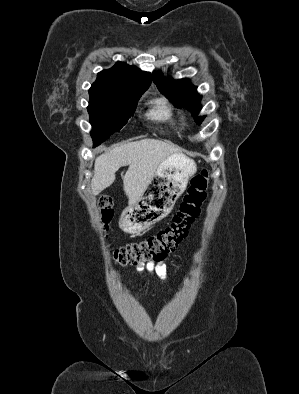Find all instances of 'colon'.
<instances>
[{
	"mask_svg": "<svg viewBox=\"0 0 299 394\" xmlns=\"http://www.w3.org/2000/svg\"><path fill=\"white\" fill-rule=\"evenodd\" d=\"M207 184L208 171L202 170L191 179L190 186L171 222L164 229L143 240L109 248L113 261L125 266L165 258L186 236L191 222L199 214L200 206L206 196ZM98 207L101 212V230L107 233L113 216V199L108 195L100 196Z\"/></svg>",
	"mask_w": 299,
	"mask_h": 394,
	"instance_id": "colon-1",
	"label": "colon"
}]
</instances>
